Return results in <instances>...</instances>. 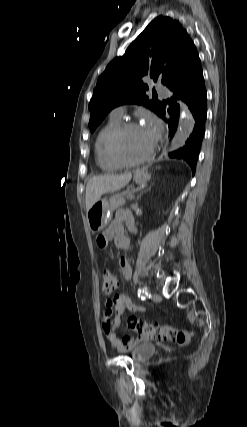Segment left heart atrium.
<instances>
[{"label":"left heart atrium","instance_id":"obj_1","mask_svg":"<svg viewBox=\"0 0 247 427\" xmlns=\"http://www.w3.org/2000/svg\"><path fill=\"white\" fill-rule=\"evenodd\" d=\"M144 130L148 133L152 141L155 142L160 135L161 124L156 118L149 117L147 119V123L144 127Z\"/></svg>","mask_w":247,"mask_h":427}]
</instances>
